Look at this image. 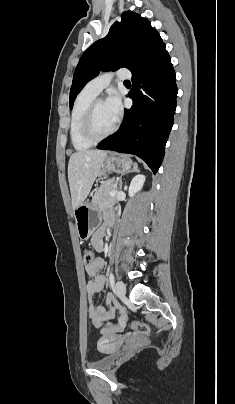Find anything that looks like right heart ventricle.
Here are the masks:
<instances>
[{"label": "right heart ventricle", "mask_w": 235, "mask_h": 404, "mask_svg": "<svg viewBox=\"0 0 235 404\" xmlns=\"http://www.w3.org/2000/svg\"><path fill=\"white\" fill-rule=\"evenodd\" d=\"M96 95L86 92L84 89L78 94L70 116L69 134L73 147L78 151L87 150L93 146L82 133V125L87 109Z\"/></svg>", "instance_id": "obj_1"}]
</instances>
